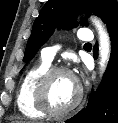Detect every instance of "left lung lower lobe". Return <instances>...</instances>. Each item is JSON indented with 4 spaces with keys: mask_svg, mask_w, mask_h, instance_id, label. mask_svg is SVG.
Wrapping results in <instances>:
<instances>
[{
    "mask_svg": "<svg viewBox=\"0 0 118 123\" xmlns=\"http://www.w3.org/2000/svg\"><path fill=\"white\" fill-rule=\"evenodd\" d=\"M107 29L112 49L103 80L97 91L91 93L87 107L66 123H118V14L107 23ZM93 53L97 58V45Z\"/></svg>",
    "mask_w": 118,
    "mask_h": 123,
    "instance_id": "left-lung-lower-lobe-1",
    "label": "left lung lower lobe"
}]
</instances>
